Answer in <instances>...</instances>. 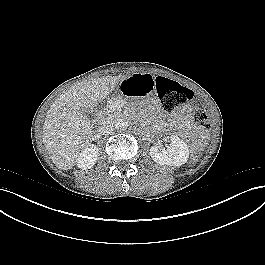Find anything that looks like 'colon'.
I'll list each match as a JSON object with an SVG mask.
<instances>
[{
	"instance_id": "1",
	"label": "colon",
	"mask_w": 265,
	"mask_h": 265,
	"mask_svg": "<svg viewBox=\"0 0 265 265\" xmlns=\"http://www.w3.org/2000/svg\"><path fill=\"white\" fill-rule=\"evenodd\" d=\"M155 87L162 107L169 112L188 103L193 97L190 89L169 78L157 77ZM194 120L203 129L211 127L209 112L205 107H200L195 111Z\"/></svg>"
}]
</instances>
